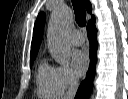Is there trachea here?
<instances>
[{"instance_id":"3493384b","label":"trachea","mask_w":128,"mask_h":99,"mask_svg":"<svg viewBox=\"0 0 128 99\" xmlns=\"http://www.w3.org/2000/svg\"><path fill=\"white\" fill-rule=\"evenodd\" d=\"M75 20L80 27L86 25V11L82 0H72Z\"/></svg>"}]
</instances>
